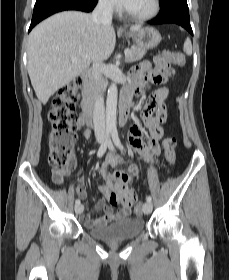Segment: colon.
Masks as SVG:
<instances>
[{
    "label": "colon",
    "instance_id": "colon-1",
    "mask_svg": "<svg viewBox=\"0 0 229 280\" xmlns=\"http://www.w3.org/2000/svg\"><path fill=\"white\" fill-rule=\"evenodd\" d=\"M185 55L181 52L164 50L156 58V66L153 69L154 79L158 83L167 82L174 76L172 65H185ZM84 82L76 78L72 84L66 85L58 91L52 99L50 110V125L47 130V142L50 148L49 162L55 169L54 182L61 184L65 176V168L69 163L74 147V138L77 128L83 125L79 116L75 113V104L79 91ZM165 158L170 165L175 162L176 139L168 137L163 142ZM116 195H111L109 201L115 203ZM135 196H133V202ZM135 213L140 215L142 208L137 204Z\"/></svg>",
    "mask_w": 229,
    "mask_h": 280
}]
</instances>
